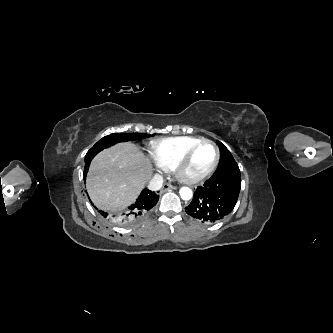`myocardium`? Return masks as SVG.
Here are the masks:
<instances>
[{"instance_id": "myocardium-1", "label": "myocardium", "mask_w": 333, "mask_h": 333, "mask_svg": "<svg viewBox=\"0 0 333 333\" xmlns=\"http://www.w3.org/2000/svg\"><path fill=\"white\" fill-rule=\"evenodd\" d=\"M203 144H210L212 145L215 150H216V159L214 161V163L212 164V166L204 173L194 176V177H187L184 175L183 171L185 166L187 165V163L189 162V160L191 159L193 153ZM221 159V153H220V149L217 146V144L209 139H202L199 142L195 143L194 145H192L189 149H187L182 156L179 158V160L177 161V163L175 164L173 171L176 175V177L181 180L182 182L186 183V184H196L198 182H201L202 180L206 179L207 177H209L218 167L219 162Z\"/></svg>"}]
</instances>
